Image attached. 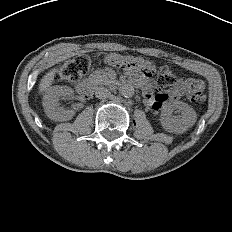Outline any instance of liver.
<instances>
[{
	"instance_id": "obj_1",
	"label": "liver",
	"mask_w": 232,
	"mask_h": 232,
	"mask_svg": "<svg viewBox=\"0 0 232 232\" xmlns=\"http://www.w3.org/2000/svg\"><path fill=\"white\" fill-rule=\"evenodd\" d=\"M56 72L57 69H53L52 71L43 76L39 84V93L46 92L49 89L50 85H52Z\"/></svg>"
}]
</instances>
